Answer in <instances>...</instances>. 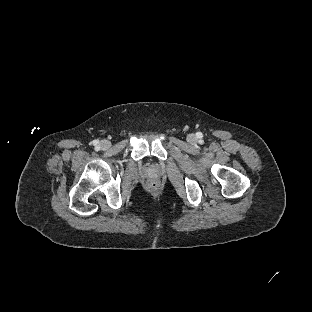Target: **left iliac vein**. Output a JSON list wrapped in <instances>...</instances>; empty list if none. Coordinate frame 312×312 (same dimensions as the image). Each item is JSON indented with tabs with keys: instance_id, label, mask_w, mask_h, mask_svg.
I'll return each instance as SVG.
<instances>
[{
	"instance_id": "obj_1",
	"label": "left iliac vein",
	"mask_w": 312,
	"mask_h": 312,
	"mask_svg": "<svg viewBox=\"0 0 312 312\" xmlns=\"http://www.w3.org/2000/svg\"><path fill=\"white\" fill-rule=\"evenodd\" d=\"M196 139V136L194 134H189L187 136V140L190 142V141H194Z\"/></svg>"
}]
</instances>
